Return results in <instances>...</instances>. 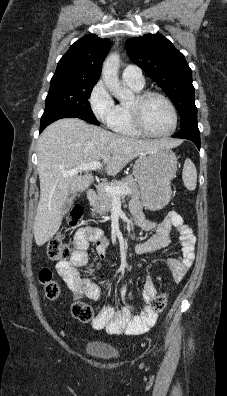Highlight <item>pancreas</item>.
<instances>
[{
  "label": "pancreas",
  "mask_w": 227,
  "mask_h": 396,
  "mask_svg": "<svg viewBox=\"0 0 227 396\" xmlns=\"http://www.w3.org/2000/svg\"><path fill=\"white\" fill-rule=\"evenodd\" d=\"M110 186L116 187H128L130 189V193L128 196L132 198L140 197V189L135 179L132 176H127L126 178L113 182ZM120 198H124L125 194L118 195ZM114 196L108 194L104 188H99L97 193V201L92 204V215L94 216L96 213L100 215H104L112 210V202Z\"/></svg>",
  "instance_id": "obj_1"
}]
</instances>
